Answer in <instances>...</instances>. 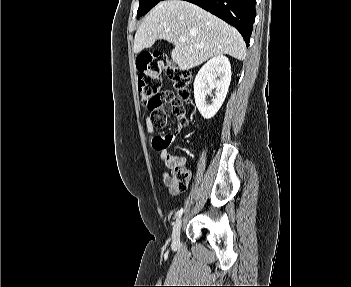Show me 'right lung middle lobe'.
<instances>
[{"label":"right lung middle lobe","instance_id":"1","mask_svg":"<svg viewBox=\"0 0 351 287\" xmlns=\"http://www.w3.org/2000/svg\"><path fill=\"white\" fill-rule=\"evenodd\" d=\"M162 0H139V9L137 16L140 17L149 12L156 4Z\"/></svg>","mask_w":351,"mask_h":287}]
</instances>
